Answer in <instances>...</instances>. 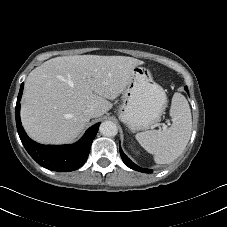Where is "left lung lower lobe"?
Returning <instances> with one entry per match:
<instances>
[{
    "mask_svg": "<svg viewBox=\"0 0 227 227\" xmlns=\"http://www.w3.org/2000/svg\"><path fill=\"white\" fill-rule=\"evenodd\" d=\"M185 90L189 93L188 91V88L185 87ZM120 150V155H121V158L123 160V162L131 169L133 170H136V171H139V172H143V173H152L153 170L151 169H143L139 166H137L136 164H134L122 151L121 147L119 148Z\"/></svg>",
    "mask_w": 227,
    "mask_h": 227,
    "instance_id": "1",
    "label": "left lung lower lobe"
}]
</instances>
